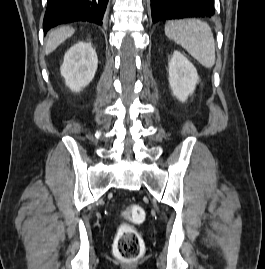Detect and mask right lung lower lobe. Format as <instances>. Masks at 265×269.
Instances as JSON below:
<instances>
[{
  "label": "right lung lower lobe",
  "instance_id": "right-lung-lower-lobe-1",
  "mask_svg": "<svg viewBox=\"0 0 265 269\" xmlns=\"http://www.w3.org/2000/svg\"><path fill=\"white\" fill-rule=\"evenodd\" d=\"M108 0H47L44 33L59 24L90 21L101 25Z\"/></svg>",
  "mask_w": 265,
  "mask_h": 269
}]
</instances>
